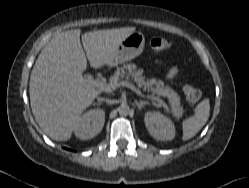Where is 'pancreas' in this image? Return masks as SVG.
I'll return each mask as SVG.
<instances>
[{"label": "pancreas", "mask_w": 249, "mask_h": 188, "mask_svg": "<svg viewBox=\"0 0 249 188\" xmlns=\"http://www.w3.org/2000/svg\"><path fill=\"white\" fill-rule=\"evenodd\" d=\"M123 78L133 80L139 87L151 92V97L156 98V100L159 99V96L167 97L173 115L178 118L182 116L183 108L181 106L180 96L169 85H165L162 80L157 81L155 78L146 80L143 71L137 69L133 63L117 68L109 81L110 84H119Z\"/></svg>", "instance_id": "pancreas-1"}]
</instances>
